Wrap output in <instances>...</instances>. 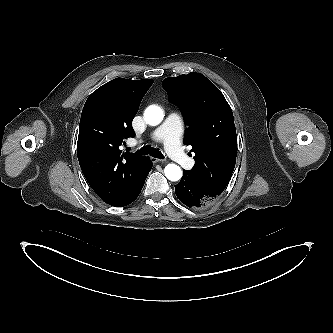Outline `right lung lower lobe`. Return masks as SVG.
<instances>
[{
  "mask_svg": "<svg viewBox=\"0 0 333 333\" xmlns=\"http://www.w3.org/2000/svg\"><path fill=\"white\" fill-rule=\"evenodd\" d=\"M151 168H152V162L148 159L135 182L134 189L131 192L130 196L119 207H123V206H126V205L132 203L138 197V195L140 194L141 189L144 185L145 179H146L149 171L151 170Z\"/></svg>",
  "mask_w": 333,
  "mask_h": 333,
  "instance_id": "right-lung-lower-lobe-1",
  "label": "right lung lower lobe"
}]
</instances>
